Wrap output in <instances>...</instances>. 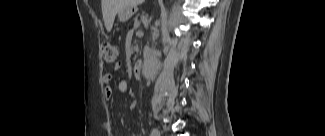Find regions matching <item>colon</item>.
Listing matches in <instances>:
<instances>
[{"mask_svg":"<svg viewBox=\"0 0 325 136\" xmlns=\"http://www.w3.org/2000/svg\"><path fill=\"white\" fill-rule=\"evenodd\" d=\"M102 53L105 61L108 63L115 62L119 55L118 48L111 43H104L102 45Z\"/></svg>","mask_w":325,"mask_h":136,"instance_id":"5ec220e1","label":"colon"}]
</instances>
